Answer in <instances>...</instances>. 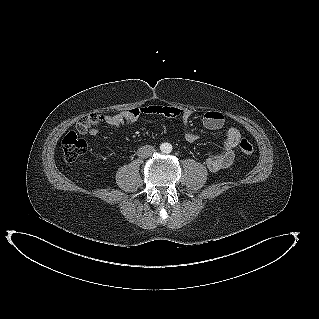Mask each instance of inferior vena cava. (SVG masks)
Listing matches in <instances>:
<instances>
[{"label": "inferior vena cava", "mask_w": 319, "mask_h": 319, "mask_svg": "<svg viewBox=\"0 0 319 319\" xmlns=\"http://www.w3.org/2000/svg\"><path fill=\"white\" fill-rule=\"evenodd\" d=\"M155 149L151 145H145L138 149V156L141 158H147L154 153Z\"/></svg>", "instance_id": "602c4592"}]
</instances>
